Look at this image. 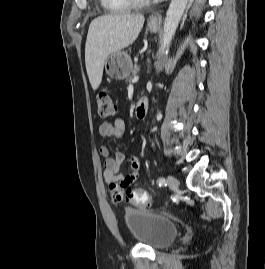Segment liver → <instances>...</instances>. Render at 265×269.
<instances>
[{
    "label": "liver",
    "mask_w": 265,
    "mask_h": 269,
    "mask_svg": "<svg viewBox=\"0 0 265 269\" xmlns=\"http://www.w3.org/2000/svg\"><path fill=\"white\" fill-rule=\"evenodd\" d=\"M144 21L142 14L130 13L107 14L92 20L85 45V64L93 90L101 84L108 56L133 44Z\"/></svg>",
    "instance_id": "obj_1"
}]
</instances>
